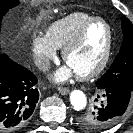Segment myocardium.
Segmentation results:
<instances>
[{
    "label": "myocardium",
    "instance_id": "obj_1",
    "mask_svg": "<svg viewBox=\"0 0 133 133\" xmlns=\"http://www.w3.org/2000/svg\"><path fill=\"white\" fill-rule=\"evenodd\" d=\"M97 22L103 23L107 28L108 38H107L105 52L103 54V57L99 61V63L91 71L84 73V74H76V77L82 81L90 80V79L97 77L106 68V66L110 60V57H111L113 39H114V33H113L112 26L110 25V23L107 20H105L102 17H93L90 20H88L78 30V32L75 34V36L65 45V47L63 48V51H62L63 61L65 63H67L69 55L82 42V40H83L86 32L90 28V26Z\"/></svg>",
    "mask_w": 133,
    "mask_h": 133
}]
</instances>
